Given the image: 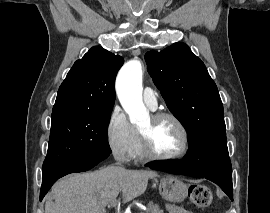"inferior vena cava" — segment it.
Masks as SVG:
<instances>
[{
    "label": "inferior vena cava",
    "instance_id": "inferior-vena-cava-1",
    "mask_svg": "<svg viewBox=\"0 0 270 213\" xmlns=\"http://www.w3.org/2000/svg\"><path fill=\"white\" fill-rule=\"evenodd\" d=\"M117 165H118V166H117V168H118V169H120V170H124V168L121 166V164H120V163H117Z\"/></svg>",
    "mask_w": 270,
    "mask_h": 213
}]
</instances>
